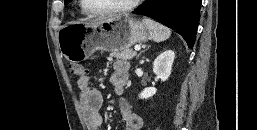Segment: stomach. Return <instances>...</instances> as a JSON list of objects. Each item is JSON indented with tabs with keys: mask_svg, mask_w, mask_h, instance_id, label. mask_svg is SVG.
I'll return each mask as SVG.
<instances>
[{
	"mask_svg": "<svg viewBox=\"0 0 257 130\" xmlns=\"http://www.w3.org/2000/svg\"><path fill=\"white\" fill-rule=\"evenodd\" d=\"M148 39L144 23L128 15L91 23L70 22L58 31L60 52L70 62L87 60L97 50L115 52Z\"/></svg>",
	"mask_w": 257,
	"mask_h": 130,
	"instance_id": "1",
	"label": "stomach"
}]
</instances>
